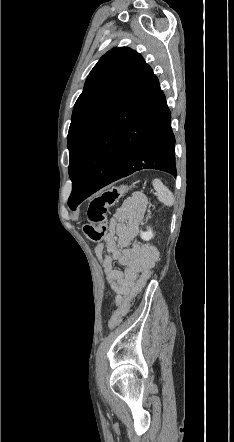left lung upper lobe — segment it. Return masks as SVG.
Returning a JSON list of instances; mask_svg holds the SVG:
<instances>
[{
	"label": "left lung upper lobe",
	"mask_w": 234,
	"mask_h": 442,
	"mask_svg": "<svg viewBox=\"0 0 234 442\" xmlns=\"http://www.w3.org/2000/svg\"><path fill=\"white\" fill-rule=\"evenodd\" d=\"M146 66L136 51L116 47L102 56L90 72L74 105L68 133L72 191L91 140Z\"/></svg>",
	"instance_id": "1"
}]
</instances>
